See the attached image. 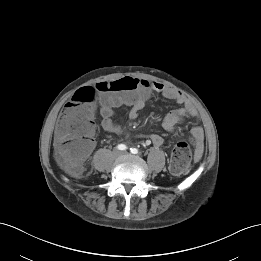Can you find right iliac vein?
<instances>
[{
  "instance_id": "right-iliac-vein-1",
  "label": "right iliac vein",
  "mask_w": 261,
  "mask_h": 261,
  "mask_svg": "<svg viewBox=\"0 0 261 261\" xmlns=\"http://www.w3.org/2000/svg\"><path fill=\"white\" fill-rule=\"evenodd\" d=\"M119 155V152L118 151H115L114 152V156L117 157Z\"/></svg>"
}]
</instances>
